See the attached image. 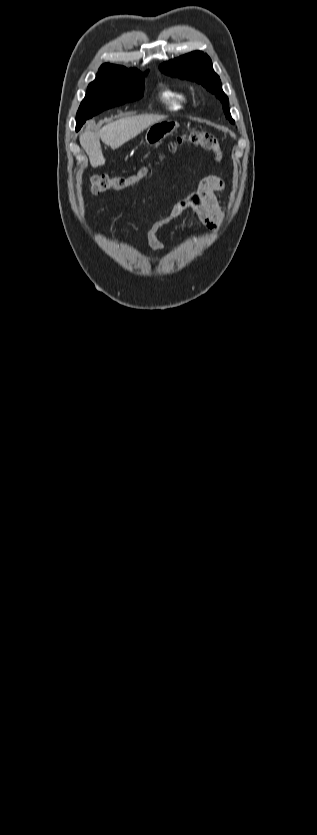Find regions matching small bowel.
I'll list each match as a JSON object with an SVG mask.
<instances>
[{"instance_id": "small-bowel-1", "label": "small bowel", "mask_w": 317, "mask_h": 835, "mask_svg": "<svg viewBox=\"0 0 317 835\" xmlns=\"http://www.w3.org/2000/svg\"><path fill=\"white\" fill-rule=\"evenodd\" d=\"M224 179L215 174L204 176L195 191L178 201L168 214L156 220L148 231V245L156 252H164L165 245L159 231L178 219L186 210H191L209 230H217L224 219L215 193L224 190Z\"/></svg>"}]
</instances>
